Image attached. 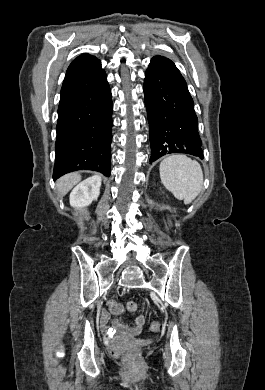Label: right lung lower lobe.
Returning a JSON list of instances; mask_svg holds the SVG:
<instances>
[{
    "label": "right lung lower lobe",
    "instance_id": "1",
    "mask_svg": "<svg viewBox=\"0 0 265 390\" xmlns=\"http://www.w3.org/2000/svg\"><path fill=\"white\" fill-rule=\"evenodd\" d=\"M111 90L98 60L66 76L58 107L53 179L81 169L110 176Z\"/></svg>",
    "mask_w": 265,
    "mask_h": 390
}]
</instances>
